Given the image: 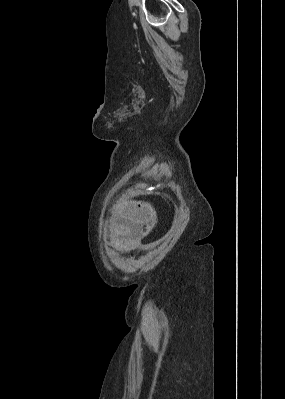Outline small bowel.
<instances>
[{"mask_svg": "<svg viewBox=\"0 0 285 399\" xmlns=\"http://www.w3.org/2000/svg\"><path fill=\"white\" fill-rule=\"evenodd\" d=\"M147 216L148 215H147L146 211L143 210L141 215H140V218H141V220L145 221V220H147ZM148 231H149V228L146 229V232H148Z\"/></svg>", "mask_w": 285, "mask_h": 399, "instance_id": "1", "label": "small bowel"}]
</instances>
